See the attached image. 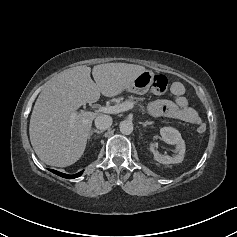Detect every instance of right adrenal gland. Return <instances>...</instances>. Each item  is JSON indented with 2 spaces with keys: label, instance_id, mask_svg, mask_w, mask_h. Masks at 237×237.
Here are the masks:
<instances>
[{
  "label": "right adrenal gland",
  "instance_id": "obj_1",
  "mask_svg": "<svg viewBox=\"0 0 237 237\" xmlns=\"http://www.w3.org/2000/svg\"><path fill=\"white\" fill-rule=\"evenodd\" d=\"M102 132H103V130L92 129V130H90V132H89L88 139L91 138V136L93 135V133L101 134Z\"/></svg>",
  "mask_w": 237,
  "mask_h": 237
}]
</instances>
